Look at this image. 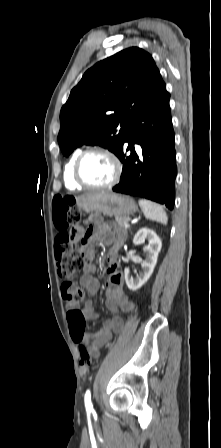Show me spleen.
I'll list each match as a JSON object with an SVG mask.
<instances>
[{"label":"spleen","mask_w":221,"mask_h":448,"mask_svg":"<svg viewBox=\"0 0 221 448\" xmlns=\"http://www.w3.org/2000/svg\"><path fill=\"white\" fill-rule=\"evenodd\" d=\"M140 206L147 219L162 223L164 225L167 224L168 218L161 205L151 201L141 200Z\"/></svg>","instance_id":"obj_1"}]
</instances>
